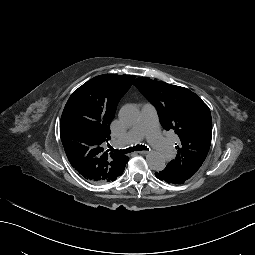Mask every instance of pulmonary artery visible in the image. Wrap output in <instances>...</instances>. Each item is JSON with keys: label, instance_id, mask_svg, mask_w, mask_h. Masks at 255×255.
<instances>
[{"label": "pulmonary artery", "instance_id": "e3ab8cb5", "mask_svg": "<svg viewBox=\"0 0 255 255\" xmlns=\"http://www.w3.org/2000/svg\"><path fill=\"white\" fill-rule=\"evenodd\" d=\"M155 115V108L149 103L144 104L138 126L129 130L123 138L113 140L111 146L114 149H120L127 145H133L146 137L164 158L171 162L176 161L177 156L173 145L168 140L160 137L158 132L159 126Z\"/></svg>", "mask_w": 255, "mask_h": 255}]
</instances>
